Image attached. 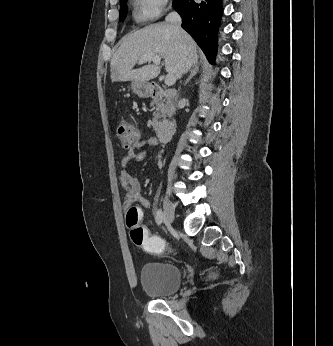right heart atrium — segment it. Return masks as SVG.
Returning <instances> with one entry per match:
<instances>
[{"instance_id": "obj_1", "label": "right heart atrium", "mask_w": 333, "mask_h": 346, "mask_svg": "<svg viewBox=\"0 0 333 346\" xmlns=\"http://www.w3.org/2000/svg\"><path fill=\"white\" fill-rule=\"evenodd\" d=\"M137 17L139 20L148 21L156 19L165 9L168 0H135Z\"/></svg>"}]
</instances>
